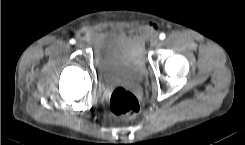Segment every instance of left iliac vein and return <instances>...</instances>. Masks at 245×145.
Here are the masks:
<instances>
[{
	"instance_id": "left-iliac-vein-1",
	"label": "left iliac vein",
	"mask_w": 245,
	"mask_h": 145,
	"mask_svg": "<svg viewBox=\"0 0 245 145\" xmlns=\"http://www.w3.org/2000/svg\"><path fill=\"white\" fill-rule=\"evenodd\" d=\"M150 43H151V46H153V47L158 46L160 44V40H159L158 36H152Z\"/></svg>"
}]
</instances>
